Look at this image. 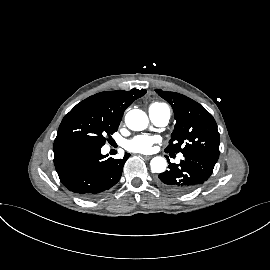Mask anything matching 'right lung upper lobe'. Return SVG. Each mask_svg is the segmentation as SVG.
Returning <instances> with one entry per match:
<instances>
[{
    "label": "right lung upper lobe",
    "instance_id": "cb5924a9",
    "mask_svg": "<svg viewBox=\"0 0 270 270\" xmlns=\"http://www.w3.org/2000/svg\"><path fill=\"white\" fill-rule=\"evenodd\" d=\"M145 93L144 89L107 91L90 96L85 101L90 103L100 116L120 123L125 109Z\"/></svg>",
    "mask_w": 270,
    "mask_h": 270
}]
</instances>
